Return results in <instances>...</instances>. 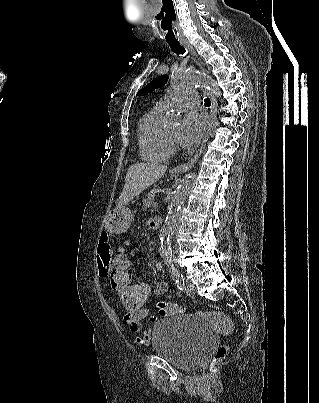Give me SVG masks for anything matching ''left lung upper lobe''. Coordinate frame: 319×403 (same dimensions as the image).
Here are the masks:
<instances>
[{"mask_svg":"<svg viewBox=\"0 0 319 403\" xmlns=\"http://www.w3.org/2000/svg\"><path fill=\"white\" fill-rule=\"evenodd\" d=\"M167 81H168L167 75L160 76L156 80L147 84L144 89H142L138 92L137 95L139 96V95H146L148 93H151L156 88H159V87H162L163 85H165Z\"/></svg>","mask_w":319,"mask_h":403,"instance_id":"1","label":"left lung upper lobe"}]
</instances>
